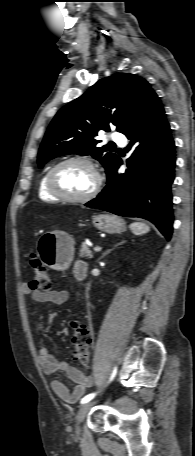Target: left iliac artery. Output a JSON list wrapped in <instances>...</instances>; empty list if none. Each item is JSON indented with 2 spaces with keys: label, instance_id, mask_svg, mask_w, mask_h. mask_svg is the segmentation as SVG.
<instances>
[{
  "label": "left iliac artery",
  "instance_id": "left-iliac-artery-1",
  "mask_svg": "<svg viewBox=\"0 0 195 456\" xmlns=\"http://www.w3.org/2000/svg\"><path fill=\"white\" fill-rule=\"evenodd\" d=\"M116 373H117V368L115 367L110 380H112L115 377ZM95 395H96V393H91V394L86 395L84 398H82L81 404L89 402L90 400H92L95 397Z\"/></svg>",
  "mask_w": 195,
  "mask_h": 456
}]
</instances>
